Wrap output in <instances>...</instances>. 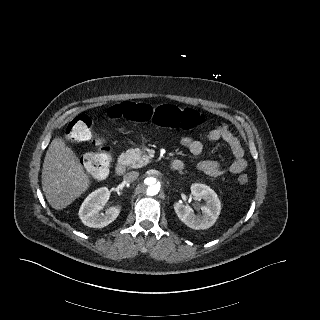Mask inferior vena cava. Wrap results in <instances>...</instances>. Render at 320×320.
Segmentation results:
<instances>
[{"mask_svg":"<svg viewBox=\"0 0 320 320\" xmlns=\"http://www.w3.org/2000/svg\"><path fill=\"white\" fill-rule=\"evenodd\" d=\"M138 176H139V173L137 171L128 172L124 176V181L132 182V181L136 180L138 178Z\"/></svg>","mask_w":320,"mask_h":320,"instance_id":"1","label":"inferior vena cava"}]
</instances>
